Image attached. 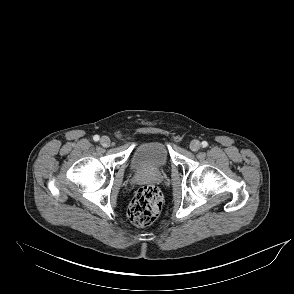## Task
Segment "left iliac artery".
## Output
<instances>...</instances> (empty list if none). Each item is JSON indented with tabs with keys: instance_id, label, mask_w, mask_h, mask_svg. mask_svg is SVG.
I'll use <instances>...</instances> for the list:
<instances>
[{
	"instance_id": "left-iliac-artery-1",
	"label": "left iliac artery",
	"mask_w": 294,
	"mask_h": 294,
	"mask_svg": "<svg viewBox=\"0 0 294 294\" xmlns=\"http://www.w3.org/2000/svg\"><path fill=\"white\" fill-rule=\"evenodd\" d=\"M202 146H203V147H207V146H208V143H207L206 141H203V142H202Z\"/></svg>"
}]
</instances>
